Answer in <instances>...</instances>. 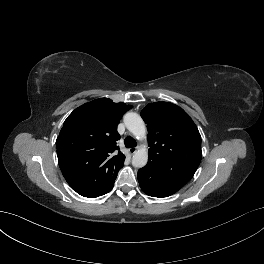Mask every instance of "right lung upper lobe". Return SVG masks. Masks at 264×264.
Wrapping results in <instances>:
<instances>
[{"mask_svg":"<svg viewBox=\"0 0 264 264\" xmlns=\"http://www.w3.org/2000/svg\"><path fill=\"white\" fill-rule=\"evenodd\" d=\"M131 105L100 98L75 109L56 140L58 163L68 184L95 198L114 185L125 156L119 151L117 125Z\"/></svg>","mask_w":264,"mask_h":264,"instance_id":"1","label":"right lung upper lobe"}]
</instances>
